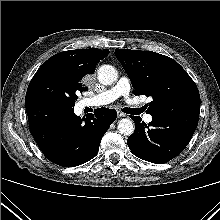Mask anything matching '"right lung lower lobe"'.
<instances>
[{
    "instance_id": "obj_1",
    "label": "right lung lower lobe",
    "mask_w": 220,
    "mask_h": 220,
    "mask_svg": "<svg viewBox=\"0 0 220 220\" xmlns=\"http://www.w3.org/2000/svg\"><path fill=\"white\" fill-rule=\"evenodd\" d=\"M30 132L43 154L53 163L74 167L95 157L101 139L115 121L114 109L100 108L80 118L73 107L48 99L25 100Z\"/></svg>"
}]
</instances>
